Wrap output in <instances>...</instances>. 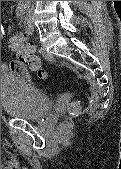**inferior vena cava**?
<instances>
[{
	"instance_id": "obj_1",
	"label": "inferior vena cava",
	"mask_w": 121,
	"mask_h": 169,
	"mask_svg": "<svg viewBox=\"0 0 121 169\" xmlns=\"http://www.w3.org/2000/svg\"><path fill=\"white\" fill-rule=\"evenodd\" d=\"M25 3H27V4H30V3H32L33 1H24Z\"/></svg>"
}]
</instances>
